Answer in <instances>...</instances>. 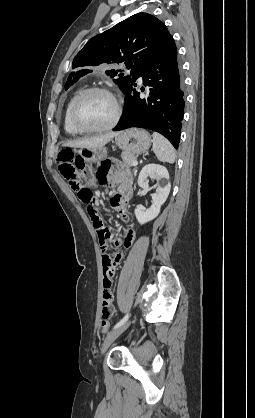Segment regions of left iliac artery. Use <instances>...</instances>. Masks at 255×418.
<instances>
[{
    "instance_id": "obj_1",
    "label": "left iliac artery",
    "mask_w": 255,
    "mask_h": 418,
    "mask_svg": "<svg viewBox=\"0 0 255 418\" xmlns=\"http://www.w3.org/2000/svg\"><path fill=\"white\" fill-rule=\"evenodd\" d=\"M129 318V314L127 313L115 326L113 329H116L117 327L123 325Z\"/></svg>"
}]
</instances>
